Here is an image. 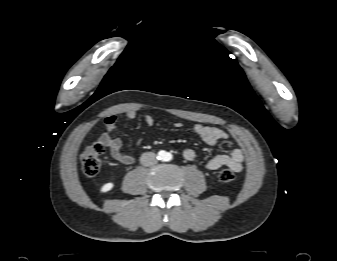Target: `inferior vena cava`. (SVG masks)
<instances>
[{
	"label": "inferior vena cava",
	"mask_w": 337,
	"mask_h": 261,
	"mask_svg": "<svg viewBox=\"0 0 337 261\" xmlns=\"http://www.w3.org/2000/svg\"><path fill=\"white\" fill-rule=\"evenodd\" d=\"M140 162L144 166H152L156 164V155L153 152H145L140 157Z\"/></svg>",
	"instance_id": "obj_1"
}]
</instances>
